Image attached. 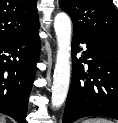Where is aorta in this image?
<instances>
[{
  "label": "aorta",
  "mask_w": 118,
  "mask_h": 123,
  "mask_svg": "<svg viewBox=\"0 0 118 123\" xmlns=\"http://www.w3.org/2000/svg\"><path fill=\"white\" fill-rule=\"evenodd\" d=\"M57 38V56L53 75L51 104L60 108L67 96L70 84L71 19L66 13H58L54 19Z\"/></svg>",
  "instance_id": "1"
}]
</instances>
